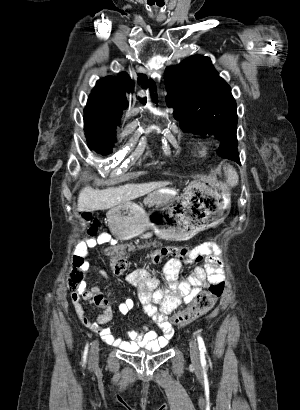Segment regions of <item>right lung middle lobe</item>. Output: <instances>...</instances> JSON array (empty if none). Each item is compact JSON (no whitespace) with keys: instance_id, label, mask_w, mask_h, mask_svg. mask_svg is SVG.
Here are the masks:
<instances>
[{"instance_id":"right-lung-middle-lobe-1","label":"right lung middle lobe","mask_w":300,"mask_h":410,"mask_svg":"<svg viewBox=\"0 0 300 410\" xmlns=\"http://www.w3.org/2000/svg\"><path fill=\"white\" fill-rule=\"evenodd\" d=\"M98 105L97 98L90 96L84 116L85 134L91 147L108 153L111 152V147L116 141L115 131L120 120L103 116Z\"/></svg>"}]
</instances>
